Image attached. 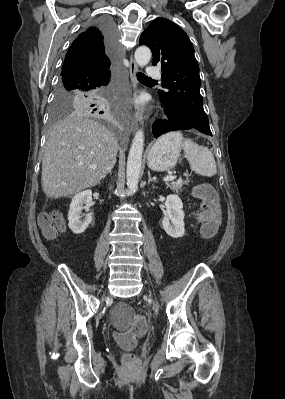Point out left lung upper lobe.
I'll return each instance as SVG.
<instances>
[{
    "instance_id": "1",
    "label": "left lung upper lobe",
    "mask_w": 285,
    "mask_h": 399,
    "mask_svg": "<svg viewBox=\"0 0 285 399\" xmlns=\"http://www.w3.org/2000/svg\"><path fill=\"white\" fill-rule=\"evenodd\" d=\"M139 43L152 50L153 65L161 66L162 87L167 91H158L160 100L170 105L176 117L187 119L202 133L212 134L199 90V66L187 34L168 19L156 18Z\"/></svg>"
}]
</instances>
